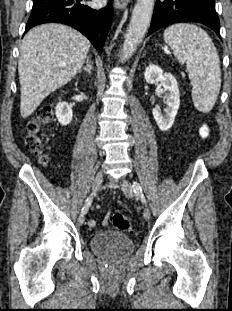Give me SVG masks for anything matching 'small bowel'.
I'll list each match as a JSON object with an SVG mask.
<instances>
[{"mask_svg":"<svg viewBox=\"0 0 232 311\" xmlns=\"http://www.w3.org/2000/svg\"><path fill=\"white\" fill-rule=\"evenodd\" d=\"M201 133H202L203 136H207V127H202ZM106 223H107V221L104 220V221H103V225H106ZM89 225H90L91 227H95V226L97 225V222H96L94 219H91V220L89 221Z\"/></svg>","mask_w":232,"mask_h":311,"instance_id":"small-bowel-1","label":"small bowel"}]
</instances>
